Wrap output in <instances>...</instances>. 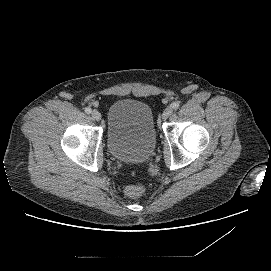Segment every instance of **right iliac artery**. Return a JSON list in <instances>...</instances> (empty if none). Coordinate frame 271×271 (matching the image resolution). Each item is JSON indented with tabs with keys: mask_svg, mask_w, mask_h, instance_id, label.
<instances>
[{
	"mask_svg": "<svg viewBox=\"0 0 271 271\" xmlns=\"http://www.w3.org/2000/svg\"><path fill=\"white\" fill-rule=\"evenodd\" d=\"M85 113L90 114L91 113V108H89V107L85 108Z\"/></svg>",
	"mask_w": 271,
	"mask_h": 271,
	"instance_id": "obj_1",
	"label": "right iliac artery"
}]
</instances>
